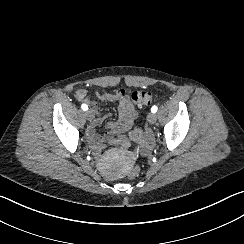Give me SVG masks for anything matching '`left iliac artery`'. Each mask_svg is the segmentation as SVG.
<instances>
[{
  "label": "left iliac artery",
  "mask_w": 244,
  "mask_h": 244,
  "mask_svg": "<svg viewBox=\"0 0 244 244\" xmlns=\"http://www.w3.org/2000/svg\"><path fill=\"white\" fill-rule=\"evenodd\" d=\"M157 110H158L157 106H155V105L152 106V108H151V112H152V113H156Z\"/></svg>",
  "instance_id": "obj_1"
}]
</instances>
